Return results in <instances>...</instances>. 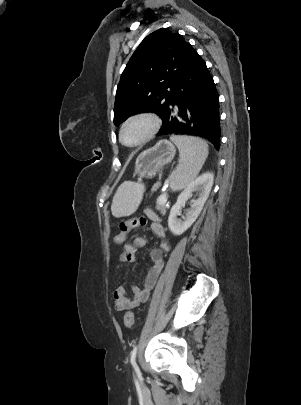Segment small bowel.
<instances>
[{"mask_svg":"<svg viewBox=\"0 0 301 405\" xmlns=\"http://www.w3.org/2000/svg\"><path fill=\"white\" fill-rule=\"evenodd\" d=\"M145 215L151 221L150 227L152 232L161 240L159 247L152 249L150 258L152 265L146 274L144 285H131V294L123 287H117L113 292V301L115 310L122 312L130 307L139 305L148 300L150 292L155 286L164 265V255L170 250V243L167 240L164 227L161 225L160 220L156 213L146 208ZM146 245L144 237H136L131 243L123 244V251L120 256L122 262L132 263L136 260L137 250Z\"/></svg>","mask_w":301,"mask_h":405,"instance_id":"c3829d8e","label":"small bowel"}]
</instances>
